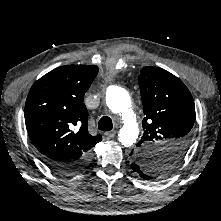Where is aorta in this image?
I'll return each instance as SVG.
<instances>
[{"label":"aorta","instance_id":"aorta-1","mask_svg":"<svg viewBox=\"0 0 221 221\" xmlns=\"http://www.w3.org/2000/svg\"><path fill=\"white\" fill-rule=\"evenodd\" d=\"M106 104L113 113L121 115L123 126L119 131V142L125 147L133 145L138 138L139 128L135 114L130 109L128 93L121 87L111 86L106 91Z\"/></svg>","mask_w":221,"mask_h":221}]
</instances>
